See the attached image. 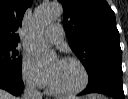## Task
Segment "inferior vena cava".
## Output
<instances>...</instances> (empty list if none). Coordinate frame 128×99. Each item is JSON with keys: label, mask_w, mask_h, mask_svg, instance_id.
<instances>
[{"label": "inferior vena cava", "mask_w": 128, "mask_h": 99, "mask_svg": "<svg viewBox=\"0 0 128 99\" xmlns=\"http://www.w3.org/2000/svg\"><path fill=\"white\" fill-rule=\"evenodd\" d=\"M23 99H42V95L36 88L35 83L28 82L26 84Z\"/></svg>", "instance_id": "602c4592"}]
</instances>
